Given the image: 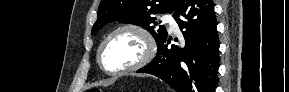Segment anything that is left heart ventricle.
<instances>
[{
    "label": "left heart ventricle",
    "instance_id": "obj_1",
    "mask_svg": "<svg viewBox=\"0 0 289 92\" xmlns=\"http://www.w3.org/2000/svg\"><path fill=\"white\" fill-rule=\"evenodd\" d=\"M144 53V44L133 32L123 31L114 35L104 47L102 61L110 70H120L135 64Z\"/></svg>",
    "mask_w": 289,
    "mask_h": 92
}]
</instances>
